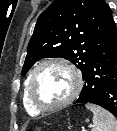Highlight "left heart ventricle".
Masks as SVG:
<instances>
[{"instance_id": "obj_1", "label": "left heart ventricle", "mask_w": 117, "mask_h": 131, "mask_svg": "<svg viewBox=\"0 0 117 131\" xmlns=\"http://www.w3.org/2000/svg\"><path fill=\"white\" fill-rule=\"evenodd\" d=\"M73 87L74 78L70 71L60 65H50L37 74L33 91L40 103L51 106L65 100Z\"/></svg>"}]
</instances>
